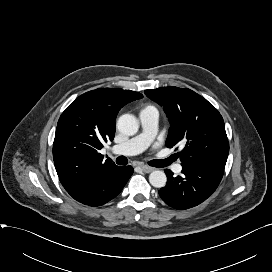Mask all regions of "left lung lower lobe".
I'll return each mask as SVG.
<instances>
[{"mask_svg": "<svg viewBox=\"0 0 272 272\" xmlns=\"http://www.w3.org/2000/svg\"><path fill=\"white\" fill-rule=\"evenodd\" d=\"M182 166V176L177 177H173L171 170L165 169L167 184L159 190V195L165 203L180 210L197 206L210 197L224 173V167Z\"/></svg>", "mask_w": 272, "mask_h": 272, "instance_id": "1", "label": "left lung lower lobe"}]
</instances>
